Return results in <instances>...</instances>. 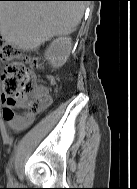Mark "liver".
<instances>
[{
  "instance_id": "liver-1",
  "label": "liver",
  "mask_w": 137,
  "mask_h": 189,
  "mask_svg": "<svg viewBox=\"0 0 137 189\" xmlns=\"http://www.w3.org/2000/svg\"><path fill=\"white\" fill-rule=\"evenodd\" d=\"M84 10L83 1H0V29L8 43L33 49L74 31Z\"/></svg>"
}]
</instances>
